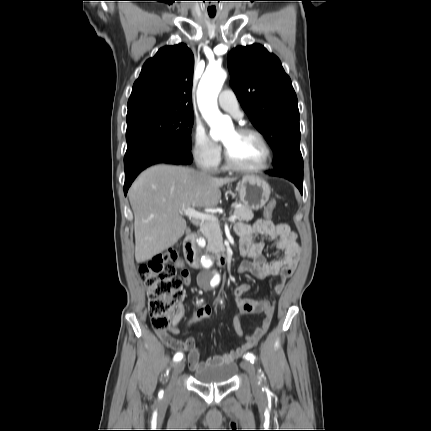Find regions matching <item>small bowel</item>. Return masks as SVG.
I'll use <instances>...</instances> for the list:
<instances>
[{
  "instance_id": "1",
  "label": "small bowel",
  "mask_w": 431,
  "mask_h": 431,
  "mask_svg": "<svg viewBox=\"0 0 431 431\" xmlns=\"http://www.w3.org/2000/svg\"><path fill=\"white\" fill-rule=\"evenodd\" d=\"M240 237L239 250L243 256V261L237 268L238 273L249 272L258 278L276 276L279 278L274 286V293L280 294L288 278L292 275L297 265L299 247L296 241V234L283 223H273L270 219H259L252 225L240 224L236 227ZM269 236L276 241V247L282 252V256L275 261H268L262 254L264 242L255 237ZM180 268L183 282L186 286L191 285L192 279L188 269L184 267L182 261L177 262ZM251 290L247 283L238 285L234 292L235 303L242 316L248 314H262L263 320L255 330L246 336V341L236 349L210 357L205 361L200 360V351L194 337L179 340L173 337L180 333L179 323L184 317L185 309L182 303L177 304L176 312L171 323L165 329H157L156 334L162 342L177 353H186L189 366L192 370H200L207 367L217 366L223 363L233 362L252 349L265 335L270 327L275 303L268 300H254L244 297Z\"/></svg>"
}]
</instances>
